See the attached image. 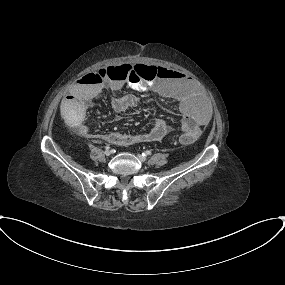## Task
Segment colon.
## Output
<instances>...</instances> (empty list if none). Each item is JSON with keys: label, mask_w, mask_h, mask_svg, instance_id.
<instances>
[{"label": "colon", "mask_w": 285, "mask_h": 285, "mask_svg": "<svg viewBox=\"0 0 285 285\" xmlns=\"http://www.w3.org/2000/svg\"><path fill=\"white\" fill-rule=\"evenodd\" d=\"M122 71H129L133 81L136 82L154 81L162 75V71L159 68L148 65H124L122 66ZM118 73V69L107 67L95 72L83 73L80 75L79 80L83 83L95 84L102 82L105 78H115ZM197 137L198 134L196 132L185 133L181 135L180 142L185 145L192 144L197 140Z\"/></svg>", "instance_id": "colon-1"}]
</instances>
